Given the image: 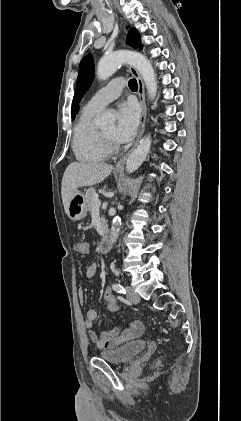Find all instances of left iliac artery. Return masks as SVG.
<instances>
[{"label": "left iliac artery", "mask_w": 241, "mask_h": 421, "mask_svg": "<svg viewBox=\"0 0 241 421\" xmlns=\"http://www.w3.org/2000/svg\"><path fill=\"white\" fill-rule=\"evenodd\" d=\"M112 288L114 291L121 293V294H125L126 290L125 288L120 284V283H115L112 285Z\"/></svg>", "instance_id": "obj_1"}]
</instances>
